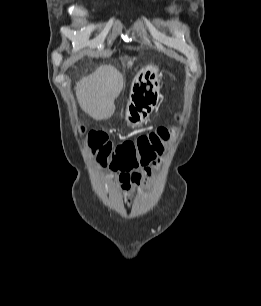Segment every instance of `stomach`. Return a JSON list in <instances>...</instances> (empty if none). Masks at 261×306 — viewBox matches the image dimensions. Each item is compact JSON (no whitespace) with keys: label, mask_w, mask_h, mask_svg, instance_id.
<instances>
[{"label":"stomach","mask_w":261,"mask_h":306,"mask_svg":"<svg viewBox=\"0 0 261 306\" xmlns=\"http://www.w3.org/2000/svg\"><path fill=\"white\" fill-rule=\"evenodd\" d=\"M147 80L133 83L126 108V121L133 128L141 126L156 107L160 98L158 69L149 66ZM135 84V85H134ZM137 84V86H136Z\"/></svg>","instance_id":"stomach-1"}]
</instances>
